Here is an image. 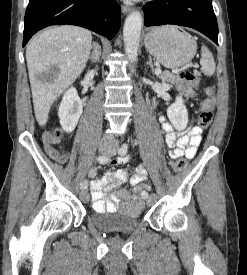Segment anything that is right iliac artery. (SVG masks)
Masks as SVG:
<instances>
[{"label":"right iliac artery","mask_w":247,"mask_h":275,"mask_svg":"<svg viewBox=\"0 0 247 275\" xmlns=\"http://www.w3.org/2000/svg\"><path fill=\"white\" fill-rule=\"evenodd\" d=\"M97 160H98L99 163L105 164V163L108 162L109 157L106 156V155H101V156H99V157L97 158ZM87 186H88L87 180H84V181L80 184V188H81L82 190L86 189Z\"/></svg>","instance_id":"82829eb1"}]
</instances>
